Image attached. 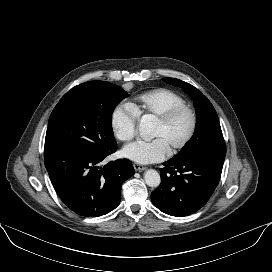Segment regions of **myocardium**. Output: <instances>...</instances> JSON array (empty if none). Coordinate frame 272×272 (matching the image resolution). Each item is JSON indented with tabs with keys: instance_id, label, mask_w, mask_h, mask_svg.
I'll return each mask as SVG.
<instances>
[{
	"instance_id": "myocardium-1",
	"label": "myocardium",
	"mask_w": 272,
	"mask_h": 272,
	"mask_svg": "<svg viewBox=\"0 0 272 272\" xmlns=\"http://www.w3.org/2000/svg\"><path fill=\"white\" fill-rule=\"evenodd\" d=\"M181 113L188 114L190 118V127L186 136L178 144L174 145L172 148L169 149L170 154H175L179 152L180 150L185 148L193 139L198 125L197 114L192 107L186 104H181L169 108L164 113L155 118L156 123L164 126L169 124L176 116Z\"/></svg>"
}]
</instances>
